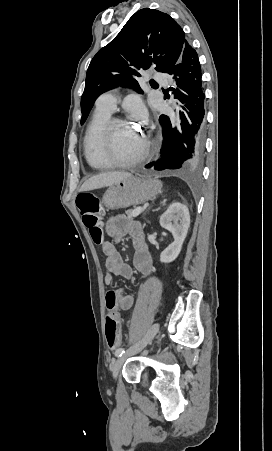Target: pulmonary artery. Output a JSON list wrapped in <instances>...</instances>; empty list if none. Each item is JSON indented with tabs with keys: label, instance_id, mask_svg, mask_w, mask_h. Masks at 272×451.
I'll return each mask as SVG.
<instances>
[{
	"label": "pulmonary artery",
	"instance_id": "obj_1",
	"mask_svg": "<svg viewBox=\"0 0 272 451\" xmlns=\"http://www.w3.org/2000/svg\"><path fill=\"white\" fill-rule=\"evenodd\" d=\"M155 74L153 78L159 81L162 90L167 92L170 88L168 87L169 82L166 80V75L161 70H158ZM148 81L151 83L153 80L150 78ZM116 98V91L104 93L97 99L96 107L112 112L115 109Z\"/></svg>",
	"mask_w": 272,
	"mask_h": 451
}]
</instances>
